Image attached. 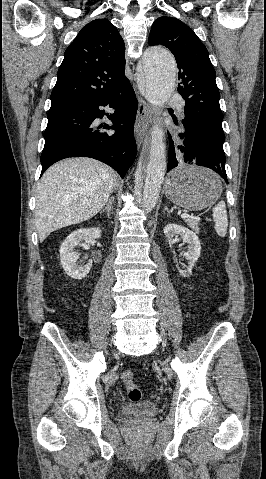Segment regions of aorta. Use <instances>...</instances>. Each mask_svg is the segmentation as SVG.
I'll list each match as a JSON object with an SVG mask.
<instances>
[{"mask_svg": "<svg viewBox=\"0 0 266 479\" xmlns=\"http://www.w3.org/2000/svg\"><path fill=\"white\" fill-rule=\"evenodd\" d=\"M176 63L172 54L162 47L146 49L141 61L140 85L147 100L154 107H162L175 88ZM164 132L159 124L151 131L148 161L137 174V187L142 189V202L151 212L158 201L166 170Z\"/></svg>", "mask_w": 266, "mask_h": 479, "instance_id": "aorta-1", "label": "aorta"}]
</instances>
